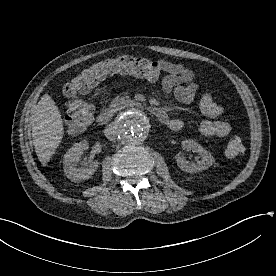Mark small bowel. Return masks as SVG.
<instances>
[{
    "label": "small bowel",
    "instance_id": "obj_1",
    "mask_svg": "<svg viewBox=\"0 0 276 276\" xmlns=\"http://www.w3.org/2000/svg\"><path fill=\"white\" fill-rule=\"evenodd\" d=\"M157 63L165 73L161 80L163 91L181 103H192L199 91L195 73L178 63L166 60H158ZM200 110L208 118L200 121L197 126L202 136L224 137L230 133L231 125L227 121L218 119L224 113V108L214 101L210 93L202 95ZM166 126L173 131H178L184 126V122L179 118H169Z\"/></svg>",
    "mask_w": 276,
    "mask_h": 276
}]
</instances>
